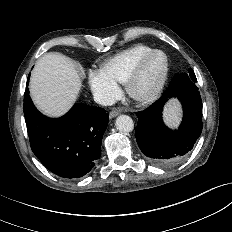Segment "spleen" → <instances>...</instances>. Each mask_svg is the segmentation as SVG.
I'll use <instances>...</instances> for the list:
<instances>
[{"label": "spleen", "mask_w": 232, "mask_h": 232, "mask_svg": "<svg viewBox=\"0 0 232 232\" xmlns=\"http://www.w3.org/2000/svg\"><path fill=\"white\" fill-rule=\"evenodd\" d=\"M168 119L170 121H175L177 119V110H171L168 114Z\"/></svg>", "instance_id": "obj_1"}]
</instances>
